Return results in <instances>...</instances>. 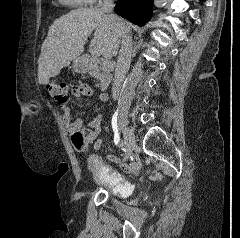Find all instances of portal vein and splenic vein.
<instances>
[{
    "mask_svg": "<svg viewBox=\"0 0 240 238\" xmlns=\"http://www.w3.org/2000/svg\"><path fill=\"white\" fill-rule=\"evenodd\" d=\"M90 53H91L92 55H97V54H98L96 51H93V50H90ZM111 67H112V64H111V62H109V61H104V62L102 63V69H103L104 71L109 70Z\"/></svg>",
    "mask_w": 240,
    "mask_h": 238,
    "instance_id": "1",
    "label": "portal vein and splenic vein"
}]
</instances>
